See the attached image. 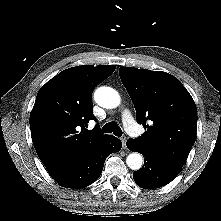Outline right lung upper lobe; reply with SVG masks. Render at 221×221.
Instances as JSON below:
<instances>
[{"label":"right lung upper lobe","instance_id":"cb5924a9","mask_svg":"<svg viewBox=\"0 0 221 221\" xmlns=\"http://www.w3.org/2000/svg\"><path fill=\"white\" fill-rule=\"evenodd\" d=\"M114 70V65L72 67L39 90L30 129L36 152L52 178L67 172L112 136L102 135L99 126L86 127L96 120L92 91Z\"/></svg>","mask_w":221,"mask_h":221}]
</instances>
